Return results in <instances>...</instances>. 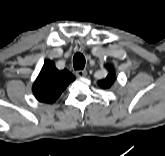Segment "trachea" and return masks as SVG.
Instances as JSON below:
<instances>
[{
    "instance_id": "trachea-1",
    "label": "trachea",
    "mask_w": 165,
    "mask_h": 156,
    "mask_svg": "<svg viewBox=\"0 0 165 156\" xmlns=\"http://www.w3.org/2000/svg\"><path fill=\"white\" fill-rule=\"evenodd\" d=\"M73 66L76 70H82L85 67V57L81 53H76L73 57Z\"/></svg>"
}]
</instances>
